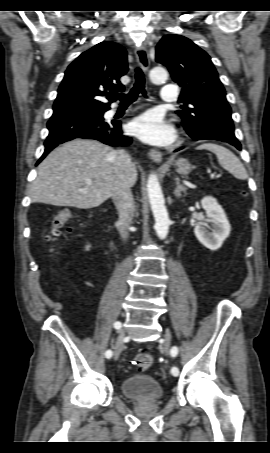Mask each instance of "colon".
Here are the masks:
<instances>
[{
    "instance_id": "obj_1",
    "label": "colon",
    "mask_w": 270,
    "mask_h": 453,
    "mask_svg": "<svg viewBox=\"0 0 270 453\" xmlns=\"http://www.w3.org/2000/svg\"><path fill=\"white\" fill-rule=\"evenodd\" d=\"M70 222V213L66 210L61 211L54 216L51 223V232L49 239L56 241L57 239L64 236L66 232V226ZM135 364L140 370H147L153 364V357L151 354L142 352L136 355Z\"/></svg>"
}]
</instances>
